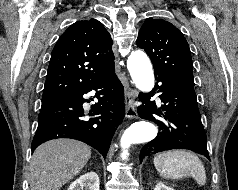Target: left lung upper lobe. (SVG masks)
Returning a JSON list of instances; mask_svg holds the SVG:
<instances>
[{
  "label": "left lung upper lobe",
  "instance_id": "5c2ea615",
  "mask_svg": "<svg viewBox=\"0 0 238 190\" xmlns=\"http://www.w3.org/2000/svg\"><path fill=\"white\" fill-rule=\"evenodd\" d=\"M137 45L149 55L154 74H166L194 84L189 45L173 24L148 18L139 31Z\"/></svg>",
  "mask_w": 238,
  "mask_h": 190
}]
</instances>
